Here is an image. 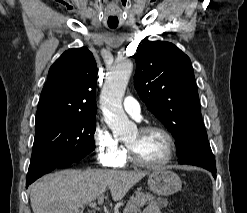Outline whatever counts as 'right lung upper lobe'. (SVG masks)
<instances>
[{"label":"right lung upper lobe","mask_w":247,"mask_h":213,"mask_svg":"<svg viewBox=\"0 0 247 213\" xmlns=\"http://www.w3.org/2000/svg\"><path fill=\"white\" fill-rule=\"evenodd\" d=\"M97 64L86 47L65 51L51 66L36 117L96 115Z\"/></svg>","instance_id":"right-lung-upper-lobe-1"}]
</instances>
